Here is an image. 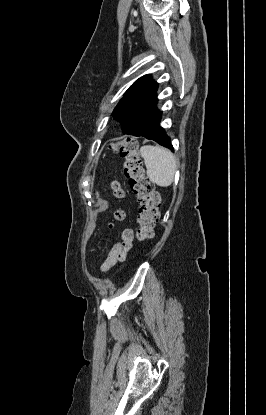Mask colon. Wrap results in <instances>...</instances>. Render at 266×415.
<instances>
[{
	"label": "colon",
	"mask_w": 266,
	"mask_h": 415,
	"mask_svg": "<svg viewBox=\"0 0 266 415\" xmlns=\"http://www.w3.org/2000/svg\"><path fill=\"white\" fill-rule=\"evenodd\" d=\"M112 149L125 158V175L140 205L137 218L139 224L137 237L140 240L151 239L154 236L155 225L159 220L160 194L146 174L142 156L134 139L125 138L114 143ZM112 189L117 198L123 197V190L117 182H112ZM123 217L122 211H116L115 218L117 220H122Z\"/></svg>",
	"instance_id": "1"
}]
</instances>
